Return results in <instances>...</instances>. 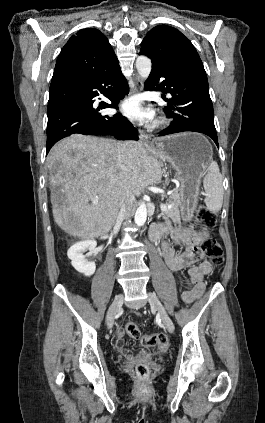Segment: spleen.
I'll return each mask as SVG.
<instances>
[{"label": "spleen", "mask_w": 265, "mask_h": 423, "mask_svg": "<svg viewBox=\"0 0 265 423\" xmlns=\"http://www.w3.org/2000/svg\"><path fill=\"white\" fill-rule=\"evenodd\" d=\"M203 187L205 190V204L207 208L217 213L221 210L223 204V186H222V175L220 173L217 162L212 161L209 166L207 173L203 179Z\"/></svg>", "instance_id": "spleen-1"}]
</instances>
